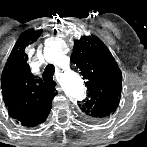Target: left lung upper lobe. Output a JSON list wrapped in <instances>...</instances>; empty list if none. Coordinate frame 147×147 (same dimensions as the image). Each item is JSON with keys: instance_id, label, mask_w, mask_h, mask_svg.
Instances as JSON below:
<instances>
[{"instance_id": "left-lung-upper-lobe-1", "label": "left lung upper lobe", "mask_w": 147, "mask_h": 147, "mask_svg": "<svg viewBox=\"0 0 147 147\" xmlns=\"http://www.w3.org/2000/svg\"><path fill=\"white\" fill-rule=\"evenodd\" d=\"M72 62L89 90L81 110L95 119L109 116L119 103L122 74L108 48L96 36L81 38L75 41Z\"/></svg>"}]
</instances>
